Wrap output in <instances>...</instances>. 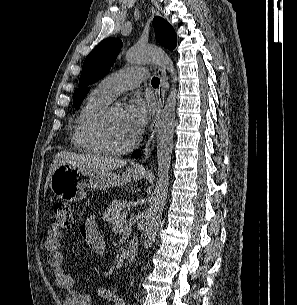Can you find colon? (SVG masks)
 Masks as SVG:
<instances>
[{"label": "colon", "instance_id": "1", "mask_svg": "<svg viewBox=\"0 0 297 305\" xmlns=\"http://www.w3.org/2000/svg\"><path fill=\"white\" fill-rule=\"evenodd\" d=\"M76 218L69 204L58 202L54 206L52 229L56 231L69 232L75 226Z\"/></svg>", "mask_w": 297, "mask_h": 305}]
</instances>
